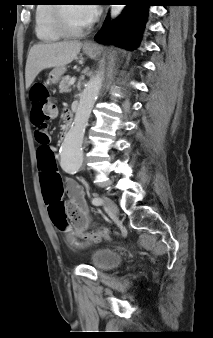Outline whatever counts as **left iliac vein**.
<instances>
[{"instance_id": "1", "label": "left iliac vein", "mask_w": 213, "mask_h": 338, "mask_svg": "<svg viewBox=\"0 0 213 338\" xmlns=\"http://www.w3.org/2000/svg\"><path fill=\"white\" fill-rule=\"evenodd\" d=\"M102 201H103V207L105 210H107L108 212H110L111 214L115 216L118 215L119 210L114 201H112L110 198L106 196H102Z\"/></svg>"}]
</instances>
